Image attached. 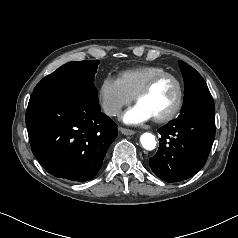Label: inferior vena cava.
<instances>
[{
  "label": "inferior vena cava",
  "mask_w": 238,
  "mask_h": 238,
  "mask_svg": "<svg viewBox=\"0 0 238 238\" xmlns=\"http://www.w3.org/2000/svg\"><path fill=\"white\" fill-rule=\"evenodd\" d=\"M103 109L108 116H116L120 113L121 108L115 104H104Z\"/></svg>",
  "instance_id": "1"
}]
</instances>
